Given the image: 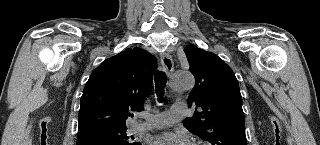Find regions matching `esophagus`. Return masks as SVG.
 <instances>
[{"label":"esophagus","mask_w":320,"mask_h":145,"mask_svg":"<svg viewBox=\"0 0 320 145\" xmlns=\"http://www.w3.org/2000/svg\"><path fill=\"white\" fill-rule=\"evenodd\" d=\"M160 59H161V64H162L163 68L165 69V71L170 73L174 70L173 60L168 53H165V52L161 53Z\"/></svg>","instance_id":"1"}]
</instances>
